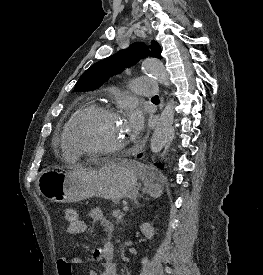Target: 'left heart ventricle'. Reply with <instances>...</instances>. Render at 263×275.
<instances>
[{
  "mask_svg": "<svg viewBox=\"0 0 263 275\" xmlns=\"http://www.w3.org/2000/svg\"><path fill=\"white\" fill-rule=\"evenodd\" d=\"M132 138V131L121 119L106 114L94 115L78 128L77 143L88 149H107Z\"/></svg>",
  "mask_w": 263,
  "mask_h": 275,
  "instance_id": "obj_1",
  "label": "left heart ventricle"
}]
</instances>
